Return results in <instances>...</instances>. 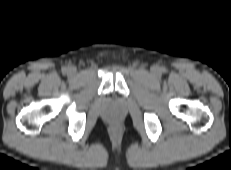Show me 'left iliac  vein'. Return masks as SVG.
<instances>
[{"label": "left iliac vein", "instance_id": "left-iliac-vein-1", "mask_svg": "<svg viewBox=\"0 0 231 170\" xmlns=\"http://www.w3.org/2000/svg\"><path fill=\"white\" fill-rule=\"evenodd\" d=\"M152 74L158 76L160 74L159 68L158 67H153Z\"/></svg>", "mask_w": 231, "mask_h": 170}]
</instances>
